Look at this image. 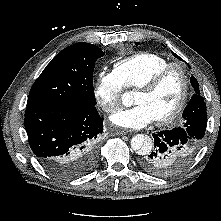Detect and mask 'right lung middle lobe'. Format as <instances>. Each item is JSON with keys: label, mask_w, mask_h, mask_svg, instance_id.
Returning <instances> with one entry per match:
<instances>
[{"label": "right lung middle lobe", "mask_w": 221, "mask_h": 221, "mask_svg": "<svg viewBox=\"0 0 221 221\" xmlns=\"http://www.w3.org/2000/svg\"><path fill=\"white\" fill-rule=\"evenodd\" d=\"M104 52L80 42L66 47L34 82L27 106L96 105L93 90L95 62Z\"/></svg>", "instance_id": "1"}]
</instances>
